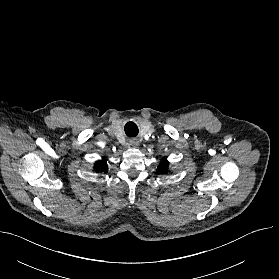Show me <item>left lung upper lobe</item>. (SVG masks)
<instances>
[{
	"label": "left lung upper lobe",
	"instance_id": "left-lung-upper-lobe-1",
	"mask_svg": "<svg viewBox=\"0 0 279 279\" xmlns=\"http://www.w3.org/2000/svg\"><path fill=\"white\" fill-rule=\"evenodd\" d=\"M168 161L166 160V159H163L161 162H160V164H159V166H158V168H157V173L158 174H164V173H166L167 171H168Z\"/></svg>",
	"mask_w": 279,
	"mask_h": 279
}]
</instances>
